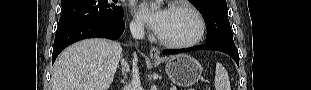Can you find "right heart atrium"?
<instances>
[{"instance_id":"obj_1","label":"right heart atrium","mask_w":311,"mask_h":90,"mask_svg":"<svg viewBox=\"0 0 311 90\" xmlns=\"http://www.w3.org/2000/svg\"><path fill=\"white\" fill-rule=\"evenodd\" d=\"M130 27L134 32L137 33L143 31V23L138 16H134V18L131 21Z\"/></svg>"}]
</instances>
